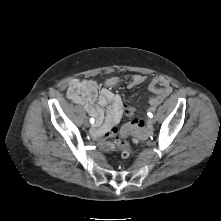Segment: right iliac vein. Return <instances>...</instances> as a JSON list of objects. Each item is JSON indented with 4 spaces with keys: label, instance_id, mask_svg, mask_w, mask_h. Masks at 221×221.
<instances>
[{
    "label": "right iliac vein",
    "instance_id": "obj_1",
    "mask_svg": "<svg viewBox=\"0 0 221 221\" xmlns=\"http://www.w3.org/2000/svg\"><path fill=\"white\" fill-rule=\"evenodd\" d=\"M84 125H85L86 127H89V126H90V122H89L87 119H85Z\"/></svg>",
    "mask_w": 221,
    "mask_h": 221
}]
</instances>
